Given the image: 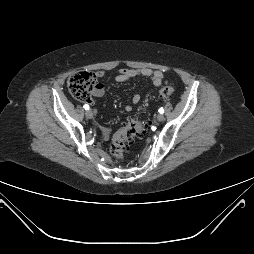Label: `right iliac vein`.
Here are the masks:
<instances>
[{
    "label": "right iliac vein",
    "mask_w": 254,
    "mask_h": 254,
    "mask_svg": "<svg viewBox=\"0 0 254 254\" xmlns=\"http://www.w3.org/2000/svg\"><path fill=\"white\" fill-rule=\"evenodd\" d=\"M85 115H86V117L89 118V119L93 118V112H92L91 110H87V111L85 112Z\"/></svg>",
    "instance_id": "63e3f726"
}]
</instances>
